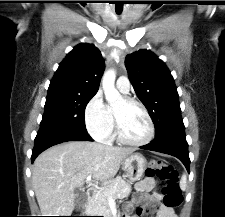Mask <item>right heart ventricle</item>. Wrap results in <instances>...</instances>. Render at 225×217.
<instances>
[{
  "instance_id": "right-heart-ventricle-1",
  "label": "right heart ventricle",
  "mask_w": 225,
  "mask_h": 217,
  "mask_svg": "<svg viewBox=\"0 0 225 217\" xmlns=\"http://www.w3.org/2000/svg\"><path fill=\"white\" fill-rule=\"evenodd\" d=\"M109 110H110V112H111V114H112V111H111L110 108H109ZM112 137H113V134H111L110 137H109L108 139H112Z\"/></svg>"
}]
</instances>
